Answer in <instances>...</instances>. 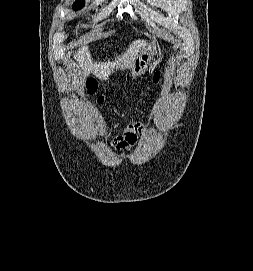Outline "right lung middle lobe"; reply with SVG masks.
Listing matches in <instances>:
<instances>
[{"label": "right lung middle lobe", "instance_id": "dd1d6c3e", "mask_svg": "<svg viewBox=\"0 0 253 271\" xmlns=\"http://www.w3.org/2000/svg\"><path fill=\"white\" fill-rule=\"evenodd\" d=\"M84 6V2L82 0H77L74 4H73V9L74 10H78L81 9Z\"/></svg>", "mask_w": 253, "mask_h": 271}]
</instances>
